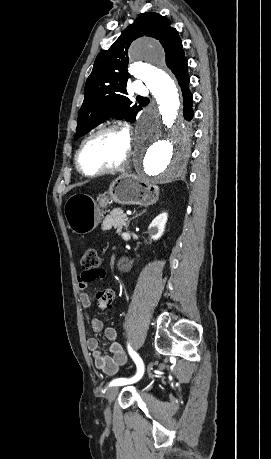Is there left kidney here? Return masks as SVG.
<instances>
[{
	"mask_svg": "<svg viewBox=\"0 0 271 459\" xmlns=\"http://www.w3.org/2000/svg\"><path fill=\"white\" fill-rule=\"evenodd\" d=\"M167 220L168 214H166V212H163V214H159V216L154 218L153 222H151L148 228V233L151 235V239H159V237L163 235Z\"/></svg>",
	"mask_w": 271,
	"mask_h": 459,
	"instance_id": "1",
	"label": "left kidney"
}]
</instances>
